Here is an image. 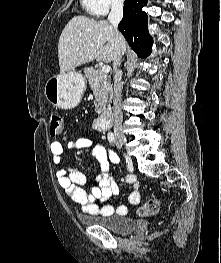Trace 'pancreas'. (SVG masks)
<instances>
[{"mask_svg": "<svg viewBox=\"0 0 221 263\" xmlns=\"http://www.w3.org/2000/svg\"><path fill=\"white\" fill-rule=\"evenodd\" d=\"M84 73L95 97V112L101 114L105 110L106 105L111 101V84L105 74H99V72L93 67L85 68Z\"/></svg>", "mask_w": 221, "mask_h": 263, "instance_id": "obj_1", "label": "pancreas"}]
</instances>
